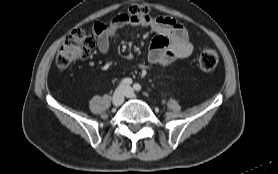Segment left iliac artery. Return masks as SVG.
Listing matches in <instances>:
<instances>
[{
  "label": "left iliac artery",
  "instance_id": "44dca946",
  "mask_svg": "<svg viewBox=\"0 0 278 174\" xmlns=\"http://www.w3.org/2000/svg\"><path fill=\"white\" fill-rule=\"evenodd\" d=\"M133 88H134L135 91H140L141 90L140 84H134Z\"/></svg>",
  "mask_w": 278,
  "mask_h": 174
}]
</instances>
